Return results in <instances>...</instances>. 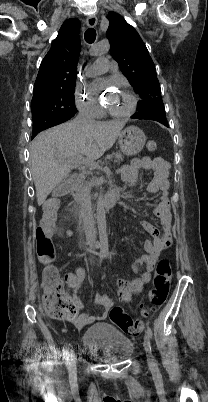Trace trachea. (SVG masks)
<instances>
[{"label": "trachea", "mask_w": 208, "mask_h": 402, "mask_svg": "<svg viewBox=\"0 0 208 402\" xmlns=\"http://www.w3.org/2000/svg\"><path fill=\"white\" fill-rule=\"evenodd\" d=\"M84 38L87 43H93L96 39V31L94 28H88L84 33Z\"/></svg>", "instance_id": "1"}]
</instances>
